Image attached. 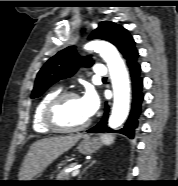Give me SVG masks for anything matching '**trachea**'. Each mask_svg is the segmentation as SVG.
<instances>
[{"label":"trachea","instance_id":"obj_1","mask_svg":"<svg viewBox=\"0 0 178 186\" xmlns=\"http://www.w3.org/2000/svg\"><path fill=\"white\" fill-rule=\"evenodd\" d=\"M106 79H107L106 77L103 78V80H106Z\"/></svg>","mask_w":178,"mask_h":186}]
</instances>
